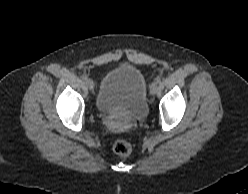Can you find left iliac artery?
<instances>
[{
	"label": "left iliac artery",
	"instance_id": "44dca946",
	"mask_svg": "<svg viewBox=\"0 0 248 194\" xmlns=\"http://www.w3.org/2000/svg\"><path fill=\"white\" fill-rule=\"evenodd\" d=\"M156 83H161V79L160 78H156Z\"/></svg>",
	"mask_w": 248,
	"mask_h": 194
}]
</instances>
